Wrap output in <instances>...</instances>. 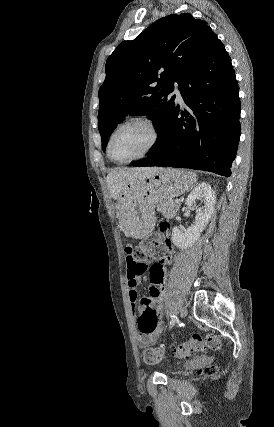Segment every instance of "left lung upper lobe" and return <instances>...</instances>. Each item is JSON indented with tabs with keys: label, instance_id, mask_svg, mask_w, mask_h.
Listing matches in <instances>:
<instances>
[{
	"label": "left lung upper lobe",
	"instance_id": "left-lung-upper-lobe-1",
	"mask_svg": "<svg viewBox=\"0 0 274 427\" xmlns=\"http://www.w3.org/2000/svg\"><path fill=\"white\" fill-rule=\"evenodd\" d=\"M215 36L207 22L188 13L171 14L117 46L107 59L98 92L103 150L127 114L147 115L159 136L174 102L175 96L168 97L174 82H180Z\"/></svg>",
	"mask_w": 274,
	"mask_h": 427
}]
</instances>
